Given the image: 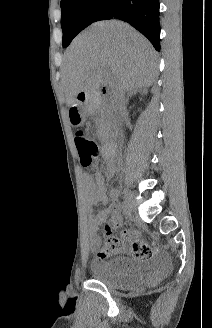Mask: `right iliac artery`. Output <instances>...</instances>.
<instances>
[{
	"instance_id": "right-iliac-artery-1",
	"label": "right iliac artery",
	"mask_w": 212,
	"mask_h": 328,
	"mask_svg": "<svg viewBox=\"0 0 212 328\" xmlns=\"http://www.w3.org/2000/svg\"><path fill=\"white\" fill-rule=\"evenodd\" d=\"M122 210H123L124 213L126 212V205H125V202L122 203Z\"/></svg>"
}]
</instances>
